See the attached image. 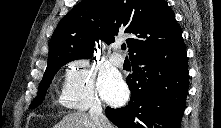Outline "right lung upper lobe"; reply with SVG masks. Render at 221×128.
<instances>
[{"label":"right lung upper lobe","mask_w":221,"mask_h":128,"mask_svg":"<svg viewBox=\"0 0 221 128\" xmlns=\"http://www.w3.org/2000/svg\"><path fill=\"white\" fill-rule=\"evenodd\" d=\"M122 33L128 37L130 59L168 47L181 38L180 26L165 0H83L54 31L48 65L91 58L97 51L95 41L110 44Z\"/></svg>","instance_id":"cb5924a9"}]
</instances>
